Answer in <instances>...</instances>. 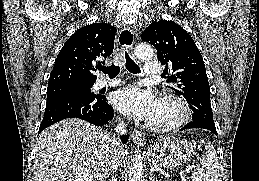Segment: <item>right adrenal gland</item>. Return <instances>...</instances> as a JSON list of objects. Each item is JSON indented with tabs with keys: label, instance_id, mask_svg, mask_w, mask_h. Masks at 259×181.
<instances>
[{
	"label": "right adrenal gland",
	"instance_id": "2a0ac1e0",
	"mask_svg": "<svg viewBox=\"0 0 259 181\" xmlns=\"http://www.w3.org/2000/svg\"><path fill=\"white\" fill-rule=\"evenodd\" d=\"M109 181H117V180H116L115 176L113 175V176L111 177V179H109Z\"/></svg>",
	"mask_w": 259,
	"mask_h": 181
}]
</instances>
